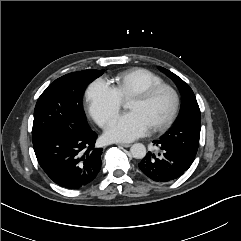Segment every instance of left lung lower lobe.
<instances>
[{
	"label": "left lung lower lobe",
	"instance_id": "obj_1",
	"mask_svg": "<svg viewBox=\"0 0 241 241\" xmlns=\"http://www.w3.org/2000/svg\"><path fill=\"white\" fill-rule=\"evenodd\" d=\"M157 153L148 152L139 163L145 176L156 182H168L182 176L193 160L174 145L161 140L153 141Z\"/></svg>",
	"mask_w": 241,
	"mask_h": 241
}]
</instances>
